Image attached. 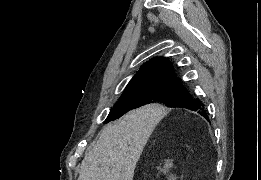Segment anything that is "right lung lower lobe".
I'll list each match as a JSON object with an SVG mask.
<instances>
[{"label":"right lung lower lobe","instance_id":"1","mask_svg":"<svg viewBox=\"0 0 261 180\" xmlns=\"http://www.w3.org/2000/svg\"><path fill=\"white\" fill-rule=\"evenodd\" d=\"M173 107H183V108L190 109L192 111H196L208 120L207 113L204 109V104H202L201 101H199L198 99H193L192 97H189L175 104Z\"/></svg>","mask_w":261,"mask_h":180}]
</instances>
